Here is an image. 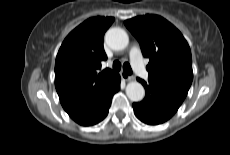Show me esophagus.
Wrapping results in <instances>:
<instances>
[{
  "label": "esophagus",
  "mask_w": 230,
  "mask_h": 155,
  "mask_svg": "<svg viewBox=\"0 0 230 155\" xmlns=\"http://www.w3.org/2000/svg\"><path fill=\"white\" fill-rule=\"evenodd\" d=\"M121 76H122V78H123L124 80H126V81H132V80H134V76L127 75V74L124 73V72L121 73Z\"/></svg>",
  "instance_id": "1"
}]
</instances>
